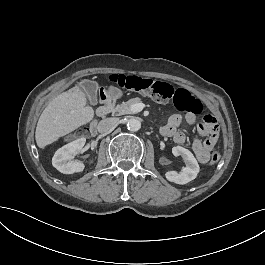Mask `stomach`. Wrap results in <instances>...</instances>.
<instances>
[{
	"mask_svg": "<svg viewBox=\"0 0 265 265\" xmlns=\"http://www.w3.org/2000/svg\"><path fill=\"white\" fill-rule=\"evenodd\" d=\"M107 93H108V95L112 96L115 99H119L122 96L121 91H119L113 87L108 88Z\"/></svg>",
	"mask_w": 265,
	"mask_h": 265,
	"instance_id": "0dacf381",
	"label": "stomach"
}]
</instances>
